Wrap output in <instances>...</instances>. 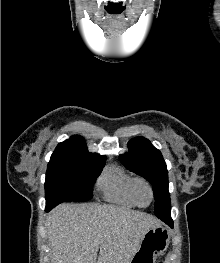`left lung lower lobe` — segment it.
I'll return each mask as SVG.
<instances>
[{
  "mask_svg": "<svg viewBox=\"0 0 220 263\" xmlns=\"http://www.w3.org/2000/svg\"><path fill=\"white\" fill-rule=\"evenodd\" d=\"M170 211L167 212L166 214H162V215H156L159 219H161L163 222H165L167 225H169L170 227L173 228V220L171 219L170 216Z\"/></svg>",
  "mask_w": 220,
  "mask_h": 263,
  "instance_id": "obj_1",
  "label": "left lung lower lobe"
}]
</instances>
